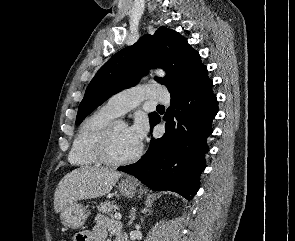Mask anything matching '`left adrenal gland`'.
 Wrapping results in <instances>:
<instances>
[{
  "label": "left adrenal gland",
  "mask_w": 295,
  "mask_h": 241,
  "mask_svg": "<svg viewBox=\"0 0 295 241\" xmlns=\"http://www.w3.org/2000/svg\"><path fill=\"white\" fill-rule=\"evenodd\" d=\"M136 209L135 208H132L131 211H130V220L128 222L129 225H131L133 223V221L136 219V213H135Z\"/></svg>",
  "instance_id": "left-adrenal-gland-1"
}]
</instances>
